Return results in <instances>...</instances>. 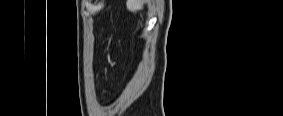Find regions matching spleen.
I'll return each mask as SVG.
<instances>
[{"instance_id":"3e777b00","label":"spleen","mask_w":283,"mask_h":116,"mask_svg":"<svg viewBox=\"0 0 283 116\" xmlns=\"http://www.w3.org/2000/svg\"><path fill=\"white\" fill-rule=\"evenodd\" d=\"M127 8L130 11L141 10L143 8L142 3L138 0H128L127 1Z\"/></svg>"}]
</instances>
